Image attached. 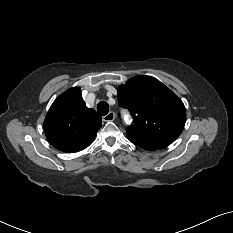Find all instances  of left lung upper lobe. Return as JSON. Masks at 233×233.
<instances>
[{
  "label": "left lung upper lobe",
  "instance_id": "obj_1",
  "mask_svg": "<svg viewBox=\"0 0 233 233\" xmlns=\"http://www.w3.org/2000/svg\"><path fill=\"white\" fill-rule=\"evenodd\" d=\"M118 102L133 116L128 139L146 149H162L182 132L186 120L183 102L150 76H136L118 89Z\"/></svg>",
  "mask_w": 233,
  "mask_h": 233
}]
</instances>
